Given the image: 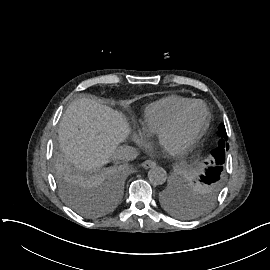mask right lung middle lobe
I'll list each match as a JSON object with an SVG mask.
<instances>
[{"instance_id":"dd1d6c3e","label":"right lung middle lobe","mask_w":270,"mask_h":270,"mask_svg":"<svg viewBox=\"0 0 270 270\" xmlns=\"http://www.w3.org/2000/svg\"><path fill=\"white\" fill-rule=\"evenodd\" d=\"M55 176L62 198L73 210L87 217L98 214L90 206L83 184L74 178L65 167L58 166Z\"/></svg>"}]
</instances>
